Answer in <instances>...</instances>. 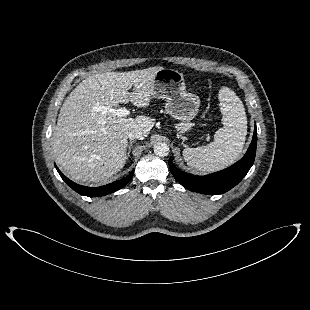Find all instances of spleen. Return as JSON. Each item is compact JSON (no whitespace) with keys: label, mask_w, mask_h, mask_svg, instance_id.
<instances>
[{"label":"spleen","mask_w":310,"mask_h":310,"mask_svg":"<svg viewBox=\"0 0 310 310\" xmlns=\"http://www.w3.org/2000/svg\"><path fill=\"white\" fill-rule=\"evenodd\" d=\"M223 127L214 135V141L197 148H185L184 160L191 168L211 173L234 163L240 156L247 135V117L242 101L229 88L219 92Z\"/></svg>","instance_id":"obj_1"}]
</instances>
